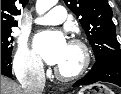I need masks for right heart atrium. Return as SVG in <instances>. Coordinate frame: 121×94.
<instances>
[{
	"label": "right heart atrium",
	"mask_w": 121,
	"mask_h": 94,
	"mask_svg": "<svg viewBox=\"0 0 121 94\" xmlns=\"http://www.w3.org/2000/svg\"><path fill=\"white\" fill-rule=\"evenodd\" d=\"M13 68L19 78H39L43 74V66L39 58L25 42H21L14 56Z\"/></svg>",
	"instance_id": "1"
}]
</instances>
